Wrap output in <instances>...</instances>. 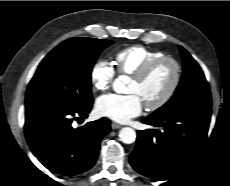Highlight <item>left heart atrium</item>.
I'll list each match as a JSON object with an SVG mask.
<instances>
[{
  "instance_id": "39dd6f15",
  "label": "left heart atrium",
  "mask_w": 230,
  "mask_h": 186,
  "mask_svg": "<svg viewBox=\"0 0 230 186\" xmlns=\"http://www.w3.org/2000/svg\"><path fill=\"white\" fill-rule=\"evenodd\" d=\"M99 115L116 122H127L138 116L143 110V102L137 94H108L101 96L96 103Z\"/></svg>"
}]
</instances>
